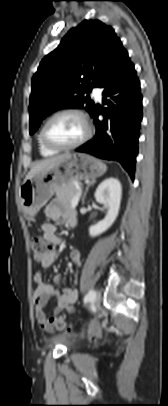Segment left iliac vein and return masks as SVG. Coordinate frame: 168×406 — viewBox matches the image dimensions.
<instances>
[{
    "label": "left iliac vein",
    "instance_id": "1",
    "mask_svg": "<svg viewBox=\"0 0 168 406\" xmlns=\"http://www.w3.org/2000/svg\"><path fill=\"white\" fill-rule=\"evenodd\" d=\"M91 301L94 308L99 307L101 301V292L99 290L94 292V297Z\"/></svg>",
    "mask_w": 168,
    "mask_h": 406
}]
</instances>
